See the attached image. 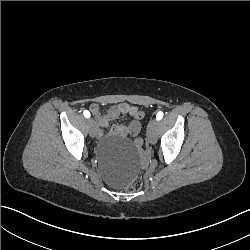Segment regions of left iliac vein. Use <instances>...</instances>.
<instances>
[{
    "label": "left iliac vein",
    "instance_id": "left-iliac-vein-1",
    "mask_svg": "<svg viewBox=\"0 0 250 250\" xmlns=\"http://www.w3.org/2000/svg\"><path fill=\"white\" fill-rule=\"evenodd\" d=\"M158 134V121L156 119L150 120L147 127V136L151 144H154L157 141Z\"/></svg>",
    "mask_w": 250,
    "mask_h": 250
}]
</instances>
